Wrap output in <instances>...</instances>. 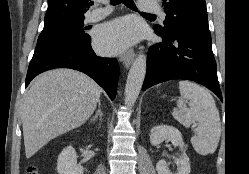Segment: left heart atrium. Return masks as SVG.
Instances as JSON below:
<instances>
[{"instance_id": "obj_1", "label": "left heart atrium", "mask_w": 249, "mask_h": 174, "mask_svg": "<svg viewBox=\"0 0 249 174\" xmlns=\"http://www.w3.org/2000/svg\"><path fill=\"white\" fill-rule=\"evenodd\" d=\"M142 37V26L132 17H123L104 25L97 33V49L107 55L124 51Z\"/></svg>"}]
</instances>
